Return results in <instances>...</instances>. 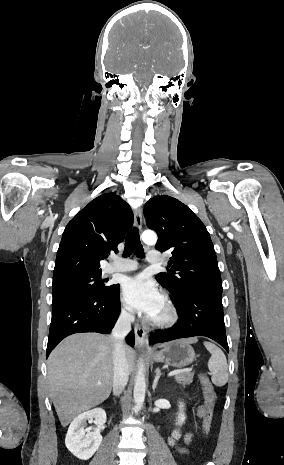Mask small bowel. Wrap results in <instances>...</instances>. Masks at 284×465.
<instances>
[{"label":"small bowel","mask_w":284,"mask_h":465,"mask_svg":"<svg viewBox=\"0 0 284 465\" xmlns=\"http://www.w3.org/2000/svg\"><path fill=\"white\" fill-rule=\"evenodd\" d=\"M197 417L198 418H205V406L201 405L199 406L197 410ZM183 440V444H180L179 441ZM192 440V434L187 433L185 435H182L180 431L176 430L173 432L171 437L168 440V443L171 447H173L178 453L180 454H187L188 449L187 445L191 442Z\"/></svg>","instance_id":"obj_1"}]
</instances>
